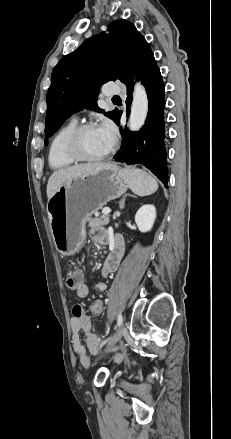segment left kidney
I'll return each mask as SVG.
<instances>
[{
	"label": "left kidney",
	"instance_id": "obj_1",
	"mask_svg": "<svg viewBox=\"0 0 231 439\" xmlns=\"http://www.w3.org/2000/svg\"><path fill=\"white\" fill-rule=\"evenodd\" d=\"M156 218V209L153 205H143L135 215V222L141 232L152 229Z\"/></svg>",
	"mask_w": 231,
	"mask_h": 439
}]
</instances>
